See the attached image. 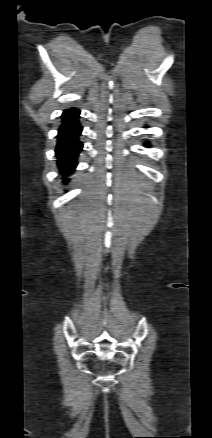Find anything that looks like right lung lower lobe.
<instances>
[{"instance_id": "right-lung-lower-lobe-1", "label": "right lung lower lobe", "mask_w": 212, "mask_h": 438, "mask_svg": "<svg viewBox=\"0 0 212 438\" xmlns=\"http://www.w3.org/2000/svg\"><path fill=\"white\" fill-rule=\"evenodd\" d=\"M80 111L76 108L64 111L62 118L63 124L59 129L58 145L56 156L61 173H72L77 165L76 157L81 151L83 145L78 140L82 127L78 123ZM67 182V180H65Z\"/></svg>"}]
</instances>
